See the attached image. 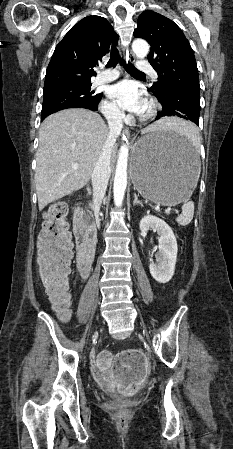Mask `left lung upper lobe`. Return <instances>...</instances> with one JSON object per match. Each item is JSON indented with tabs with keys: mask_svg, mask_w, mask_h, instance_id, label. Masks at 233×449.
Instances as JSON below:
<instances>
[{
	"mask_svg": "<svg viewBox=\"0 0 233 449\" xmlns=\"http://www.w3.org/2000/svg\"><path fill=\"white\" fill-rule=\"evenodd\" d=\"M134 36L151 46L148 60L158 74V82L150 89H169L200 102L195 56L181 29L165 16L146 10L138 18Z\"/></svg>",
	"mask_w": 233,
	"mask_h": 449,
	"instance_id": "1",
	"label": "left lung upper lobe"
}]
</instances>
